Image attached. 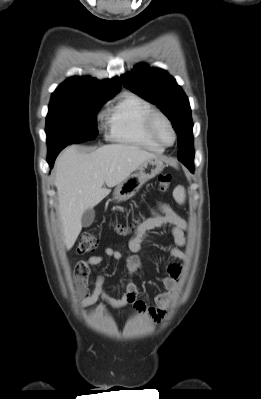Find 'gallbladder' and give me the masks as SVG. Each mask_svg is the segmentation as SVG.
Returning <instances> with one entry per match:
<instances>
[{
  "mask_svg": "<svg viewBox=\"0 0 261 399\" xmlns=\"http://www.w3.org/2000/svg\"><path fill=\"white\" fill-rule=\"evenodd\" d=\"M95 218V211L91 209H87L84 211L81 217V223L83 227H89L93 223Z\"/></svg>",
  "mask_w": 261,
  "mask_h": 399,
  "instance_id": "1",
  "label": "gallbladder"
}]
</instances>
